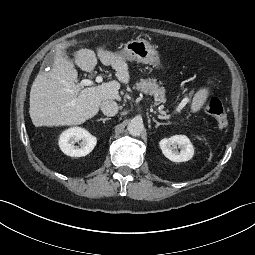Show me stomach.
I'll use <instances>...</instances> for the list:
<instances>
[{
  "instance_id": "obj_1",
  "label": "stomach",
  "mask_w": 255,
  "mask_h": 255,
  "mask_svg": "<svg viewBox=\"0 0 255 255\" xmlns=\"http://www.w3.org/2000/svg\"><path fill=\"white\" fill-rule=\"evenodd\" d=\"M120 54L127 61L150 64L155 68L161 67L158 51L145 39L138 38L127 42Z\"/></svg>"
}]
</instances>
